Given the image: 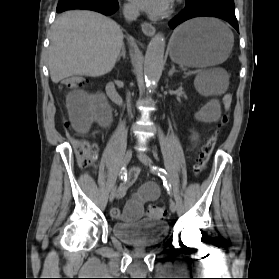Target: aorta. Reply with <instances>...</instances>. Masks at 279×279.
Returning a JSON list of instances; mask_svg holds the SVG:
<instances>
[{
  "instance_id": "1",
  "label": "aorta",
  "mask_w": 279,
  "mask_h": 279,
  "mask_svg": "<svg viewBox=\"0 0 279 279\" xmlns=\"http://www.w3.org/2000/svg\"><path fill=\"white\" fill-rule=\"evenodd\" d=\"M165 38L161 33L156 34L145 54L144 75L150 89H154L159 81L164 66Z\"/></svg>"
}]
</instances>
